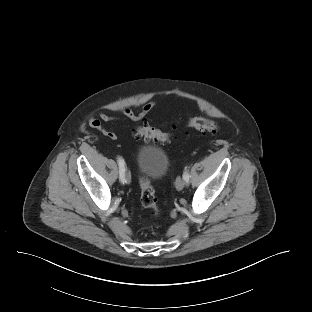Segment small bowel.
Listing matches in <instances>:
<instances>
[{"label": "small bowel", "instance_id": "1", "mask_svg": "<svg viewBox=\"0 0 312 312\" xmlns=\"http://www.w3.org/2000/svg\"><path fill=\"white\" fill-rule=\"evenodd\" d=\"M155 106L154 102H150L146 104L139 112H134L133 110L129 108H122L116 110L117 113L125 116L126 118L132 120V121H140L145 118V116L151 111V109ZM119 121V118L117 116L108 114V113H101L99 117H91L89 119V126L100 133H102L104 136L110 138V139H116L117 135L105 127V123H111V122H117Z\"/></svg>", "mask_w": 312, "mask_h": 312}]
</instances>
